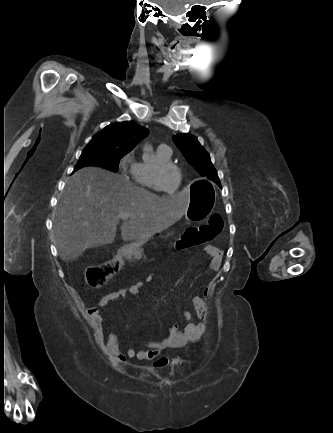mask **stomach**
<instances>
[{
	"label": "stomach",
	"mask_w": 333,
	"mask_h": 433,
	"mask_svg": "<svg viewBox=\"0 0 333 433\" xmlns=\"http://www.w3.org/2000/svg\"><path fill=\"white\" fill-rule=\"evenodd\" d=\"M214 184L207 179H197L191 187V204L189 213L186 215L194 225L200 224L201 220L207 218L213 211L214 204ZM158 233L151 236H157Z\"/></svg>",
	"instance_id": "1"
}]
</instances>
